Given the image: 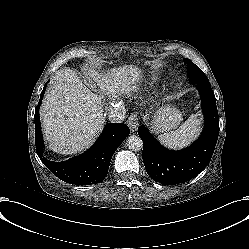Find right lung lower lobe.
Listing matches in <instances>:
<instances>
[{"instance_id": "right-lung-lower-lobe-1", "label": "right lung lower lobe", "mask_w": 249, "mask_h": 249, "mask_svg": "<svg viewBox=\"0 0 249 249\" xmlns=\"http://www.w3.org/2000/svg\"><path fill=\"white\" fill-rule=\"evenodd\" d=\"M45 89L46 85L40 95L34 116L36 151L40 160L54 175L67 183L79 185L100 183L108 173L109 164L114 152L130 134L129 127L123 123L106 124L100 138L84 154L64 162L49 161L43 157L44 144L39 118V107Z\"/></svg>"}]
</instances>
